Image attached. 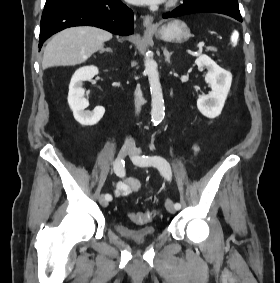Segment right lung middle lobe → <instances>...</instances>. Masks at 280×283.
<instances>
[{"instance_id":"dd1d6c3e","label":"right lung middle lobe","mask_w":280,"mask_h":283,"mask_svg":"<svg viewBox=\"0 0 280 283\" xmlns=\"http://www.w3.org/2000/svg\"><path fill=\"white\" fill-rule=\"evenodd\" d=\"M59 1H63V0H46L45 6L51 5V4L59 2Z\"/></svg>"}]
</instances>
